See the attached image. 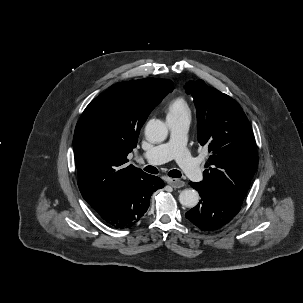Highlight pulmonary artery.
I'll return each mask as SVG.
<instances>
[{"instance_id": "1", "label": "pulmonary artery", "mask_w": 303, "mask_h": 303, "mask_svg": "<svg viewBox=\"0 0 303 303\" xmlns=\"http://www.w3.org/2000/svg\"><path fill=\"white\" fill-rule=\"evenodd\" d=\"M167 123L170 129L168 141L145 152L143 158L155 165L175 159L190 179L196 182L201 181L202 170L186 148L190 117L169 119Z\"/></svg>"}]
</instances>
